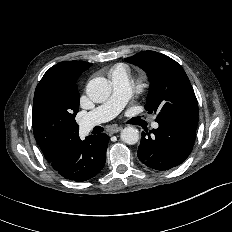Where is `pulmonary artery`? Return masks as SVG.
Instances as JSON below:
<instances>
[{"label":"pulmonary artery","instance_id":"obj_1","mask_svg":"<svg viewBox=\"0 0 232 232\" xmlns=\"http://www.w3.org/2000/svg\"><path fill=\"white\" fill-rule=\"evenodd\" d=\"M110 80L112 94L104 103L87 113L82 119L81 128L84 132L117 116L129 100L131 80L128 70L123 66L114 68L110 73ZM152 127L158 128V123L153 122Z\"/></svg>","mask_w":232,"mask_h":232}]
</instances>
